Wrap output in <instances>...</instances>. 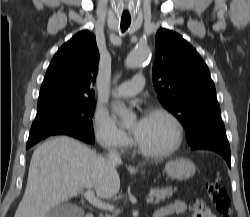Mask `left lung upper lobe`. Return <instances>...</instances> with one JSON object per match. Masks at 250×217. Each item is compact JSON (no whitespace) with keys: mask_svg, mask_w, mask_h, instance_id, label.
Returning a JSON list of instances; mask_svg holds the SVG:
<instances>
[{"mask_svg":"<svg viewBox=\"0 0 250 217\" xmlns=\"http://www.w3.org/2000/svg\"><path fill=\"white\" fill-rule=\"evenodd\" d=\"M153 83L157 97L185 127L187 140L222 121L207 65L179 34L161 28L156 34Z\"/></svg>","mask_w":250,"mask_h":217,"instance_id":"left-lung-upper-lobe-1","label":"left lung upper lobe"}]
</instances>
